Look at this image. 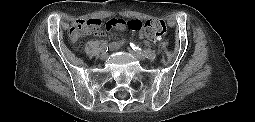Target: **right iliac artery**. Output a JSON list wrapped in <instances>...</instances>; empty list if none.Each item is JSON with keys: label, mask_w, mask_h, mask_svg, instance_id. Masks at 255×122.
Segmentation results:
<instances>
[{"label": "right iliac artery", "mask_w": 255, "mask_h": 122, "mask_svg": "<svg viewBox=\"0 0 255 122\" xmlns=\"http://www.w3.org/2000/svg\"><path fill=\"white\" fill-rule=\"evenodd\" d=\"M101 50L102 51H108V44H107V42L106 41H103L102 43H101Z\"/></svg>", "instance_id": "82829eb1"}]
</instances>
